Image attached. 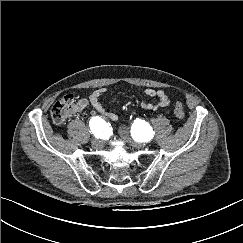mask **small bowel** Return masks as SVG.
Segmentation results:
<instances>
[{
  "label": "small bowel",
  "mask_w": 243,
  "mask_h": 243,
  "mask_svg": "<svg viewBox=\"0 0 243 243\" xmlns=\"http://www.w3.org/2000/svg\"><path fill=\"white\" fill-rule=\"evenodd\" d=\"M106 92V88H99L95 90L87 99L79 100L74 107L73 112H81L90 106H92L100 115L106 117L108 119L114 120L116 119V115L108 110L101 101V97ZM145 94L148 97L155 98L156 101L154 103L141 101V108L147 111H155L160 109H166L170 105V100L166 93L162 90H156L152 88H148L145 90ZM108 132V129H106Z\"/></svg>",
  "instance_id": "obj_1"
}]
</instances>
